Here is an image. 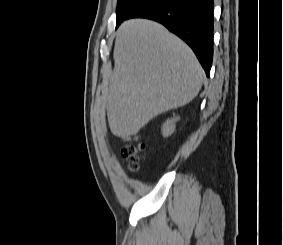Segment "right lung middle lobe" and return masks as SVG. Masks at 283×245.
I'll list each match as a JSON object with an SVG mask.
<instances>
[{
	"mask_svg": "<svg viewBox=\"0 0 283 245\" xmlns=\"http://www.w3.org/2000/svg\"><path fill=\"white\" fill-rule=\"evenodd\" d=\"M147 0H118L116 11V26L124 21L134 10Z\"/></svg>",
	"mask_w": 283,
	"mask_h": 245,
	"instance_id": "obj_1",
	"label": "right lung middle lobe"
}]
</instances>
